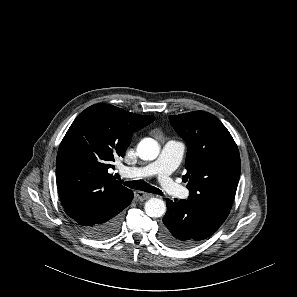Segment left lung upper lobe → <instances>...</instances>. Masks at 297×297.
<instances>
[{
    "label": "left lung upper lobe",
    "instance_id": "obj_1",
    "mask_svg": "<svg viewBox=\"0 0 297 297\" xmlns=\"http://www.w3.org/2000/svg\"><path fill=\"white\" fill-rule=\"evenodd\" d=\"M170 122L188 146L183 181L188 201L230 210L240 177V155L227 128L214 115L194 111L170 115Z\"/></svg>",
    "mask_w": 297,
    "mask_h": 297
}]
</instances>
